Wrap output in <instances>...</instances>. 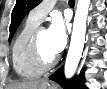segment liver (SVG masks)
Masks as SVG:
<instances>
[{"instance_id": "1", "label": "liver", "mask_w": 107, "mask_h": 89, "mask_svg": "<svg viewBox=\"0 0 107 89\" xmlns=\"http://www.w3.org/2000/svg\"><path fill=\"white\" fill-rule=\"evenodd\" d=\"M48 84L47 81L24 80L11 84L8 89H42Z\"/></svg>"}]
</instances>
